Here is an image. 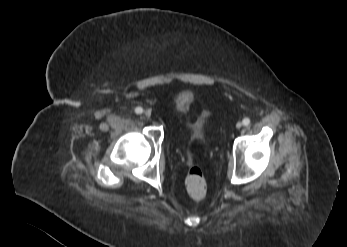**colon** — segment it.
<instances>
[{"label": "colon", "mask_w": 347, "mask_h": 247, "mask_svg": "<svg viewBox=\"0 0 347 247\" xmlns=\"http://www.w3.org/2000/svg\"><path fill=\"white\" fill-rule=\"evenodd\" d=\"M186 191L194 200L205 197L207 186L203 170L200 166L192 165L185 180Z\"/></svg>", "instance_id": "colon-1"}]
</instances>
